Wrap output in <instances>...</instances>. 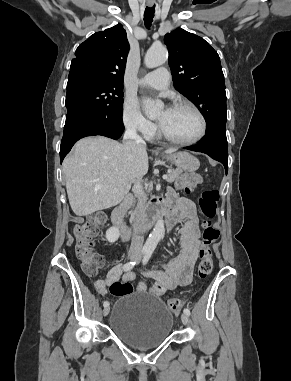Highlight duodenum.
I'll use <instances>...</instances> for the list:
<instances>
[{
  "label": "duodenum",
  "instance_id": "duodenum-1",
  "mask_svg": "<svg viewBox=\"0 0 291 381\" xmlns=\"http://www.w3.org/2000/svg\"><path fill=\"white\" fill-rule=\"evenodd\" d=\"M133 198L127 195L123 198L121 203L115 207L112 212V221L115 227L120 231L124 240H128L131 236V230L124 221V214L126 210L132 205ZM167 213V206L165 202L158 200L151 201L146 209V215L143 221L142 229L145 231L162 215Z\"/></svg>",
  "mask_w": 291,
  "mask_h": 381
}]
</instances>
